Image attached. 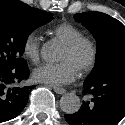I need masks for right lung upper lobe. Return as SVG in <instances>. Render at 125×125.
Masks as SVG:
<instances>
[{
  "mask_svg": "<svg viewBox=\"0 0 125 125\" xmlns=\"http://www.w3.org/2000/svg\"><path fill=\"white\" fill-rule=\"evenodd\" d=\"M0 9H6L14 17L23 19L32 17L39 10L17 0H0Z\"/></svg>",
  "mask_w": 125,
  "mask_h": 125,
  "instance_id": "cb5924a9",
  "label": "right lung upper lobe"
}]
</instances>
